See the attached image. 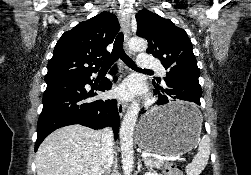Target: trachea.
<instances>
[{
  "instance_id": "trachea-1",
  "label": "trachea",
  "mask_w": 251,
  "mask_h": 175,
  "mask_svg": "<svg viewBox=\"0 0 251 175\" xmlns=\"http://www.w3.org/2000/svg\"><path fill=\"white\" fill-rule=\"evenodd\" d=\"M123 43L124 36L123 33L120 32L114 42V47L111 55L106 60H104V62L101 63V71L109 70L113 63L116 62V60H118L119 58H121V60L126 63L128 67L133 68L134 70H139L143 72H153V70H147L146 68H144L143 70L142 68H138L135 62H133V60H131V58H129L128 55H126V53L124 52Z\"/></svg>"
}]
</instances>
